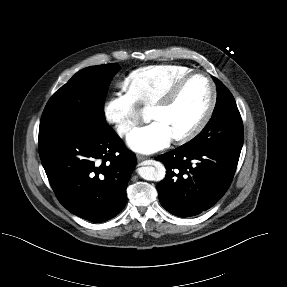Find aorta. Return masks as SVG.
Instances as JSON below:
<instances>
[{
    "mask_svg": "<svg viewBox=\"0 0 287 287\" xmlns=\"http://www.w3.org/2000/svg\"><path fill=\"white\" fill-rule=\"evenodd\" d=\"M138 174L148 181H161L166 175V169L163 164L157 163L154 166L140 167Z\"/></svg>",
    "mask_w": 287,
    "mask_h": 287,
    "instance_id": "762f6f07",
    "label": "aorta"
}]
</instances>
